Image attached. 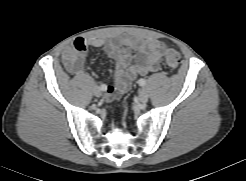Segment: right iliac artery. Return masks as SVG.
<instances>
[{"instance_id": "obj_1", "label": "right iliac artery", "mask_w": 246, "mask_h": 181, "mask_svg": "<svg viewBox=\"0 0 246 181\" xmlns=\"http://www.w3.org/2000/svg\"><path fill=\"white\" fill-rule=\"evenodd\" d=\"M100 89H101L102 91H105V90H106V86H105V85H101V86H100Z\"/></svg>"}]
</instances>
